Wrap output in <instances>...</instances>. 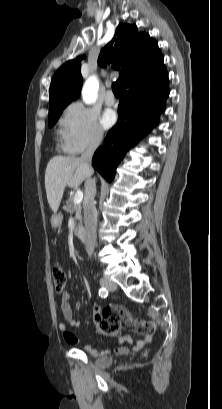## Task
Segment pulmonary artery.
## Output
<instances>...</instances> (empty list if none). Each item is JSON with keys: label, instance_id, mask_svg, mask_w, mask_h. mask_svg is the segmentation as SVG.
Masks as SVG:
<instances>
[{"label": "pulmonary artery", "instance_id": "1", "mask_svg": "<svg viewBox=\"0 0 222 409\" xmlns=\"http://www.w3.org/2000/svg\"><path fill=\"white\" fill-rule=\"evenodd\" d=\"M105 103L108 106H113L116 103L115 97L113 95V92L108 89L106 96H105Z\"/></svg>", "mask_w": 222, "mask_h": 409}]
</instances>
